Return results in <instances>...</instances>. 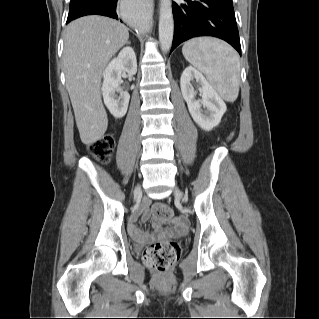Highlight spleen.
Returning <instances> with one entry per match:
<instances>
[{
    "mask_svg": "<svg viewBox=\"0 0 319 319\" xmlns=\"http://www.w3.org/2000/svg\"><path fill=\"white\" fill-rule=\"evenodd\" d=\"M185 59L206 76L225 101L233 102L239 93L240 63L237 52L212 37L193 38L182 47Z\"/></svg>",
    "mask_w": 319,
    "mask_h": 319,
    "instance_id": "1",
    "label": "spleen"
}]
</instances>
